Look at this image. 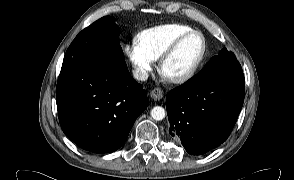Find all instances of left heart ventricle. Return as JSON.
Returning a JSON list of instances; mask_svg holds the SVG:
<instances>
[{"label":"left heart ventricle","instance_id":"1","mask_svg":"<svg viewBox=\"0 0 294 180\" xmlns=\"http://www.w3.org/2000/svg\"><path fill=\"white\" fill-rule=\"evenodd\" d=\"M202 50V41L198 35L186 39L166 62L163 74L166 77H178L187 72Z\"/></svg>","mask_w":294,"mask_h":180}]
</instances>
